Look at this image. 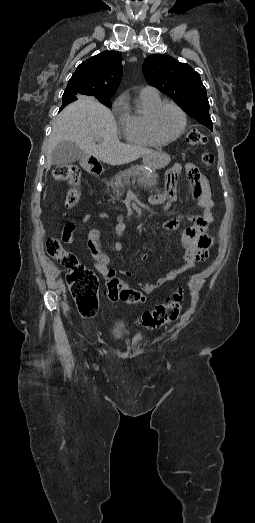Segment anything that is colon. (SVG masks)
Wrapping results in <instances>:
<instances>
[{
  "mask_svg": "<svg viewBox=\"0 0 255 523\" xmlns=\"http://www.w3.org/2000/svg\"><path fill=\"white\" fill-rule=\"evenodd\" d=\"M190 146L203 144L205 136L197 128H191L185 138ZM205 165L210 166L214 158L205 152L202 156ZM56 181H67L70 188L66 194V207L74 206L80 198V169L75 165H62L53 172ZM49 256L58 261L66 270V281L77 308L82 316H94L98 311V279L95 273L85 267L75 254L68 251L61 240L52 236L46 242ZM108 298L113 301H124L128 304H137L144 300L143 294L136 289L122 286L116 278H110L106 290ZM183 293L176 289L172 296L164 303L157 305L153 310L144 312L140 322L147 328H158L175 322L181 313Z\"/></svg>",
  "mask_w": 255,
  "mask_h": 523,
  "instance_id": "colon-1",
  "label": "colon"
}]
</instances>
